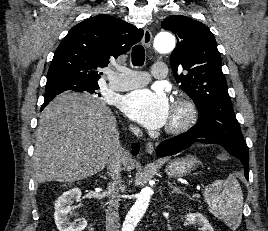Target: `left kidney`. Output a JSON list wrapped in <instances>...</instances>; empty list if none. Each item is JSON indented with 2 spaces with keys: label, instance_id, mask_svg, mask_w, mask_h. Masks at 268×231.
Returning <instances> with one entry per match:
<instances>
[{
  "label": "left kidney",
  "instance_id": "5707ae66",
  "mask_svg": "<svg viewBox=\"0 0 268 231\" xmlns=\"http://www.w3.org/2000/svg\"><path fill=\"white\" fill-rule=\"evenodd\" d=\"M185 219L192 224H198L201 231H214L207 218L200 213H189L185 216Z\"/></svg>",
  "mask_w": 268,
  "mask_h": 231
}]
</instances>
